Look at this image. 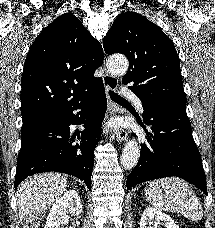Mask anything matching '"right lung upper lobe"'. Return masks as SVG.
I'll list each match as a JSON object with an SVG mask.
<instances>
[{
  "label": "right lung upper lobe",
  "instance_id": "cb5924a9",
  "mask_svg": "<svg viewBox=\"0 0 215 228\" xmlns=\"http://www.w3.org/2000/svg\"><path fill=\"white\" fill-rule=\"evenodd\" d=\"M101 44L81 21L63 14L33 42L21 78L24 123L50 118L91 88L103 63Z\"/></svg>",
  "mask_w": 215,
  "mask_h": 228
}]
</instances>
